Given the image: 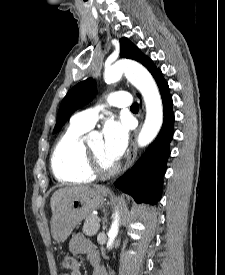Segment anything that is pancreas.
Listing matches in <instances>:
<instances>
[{
	"label": "pancreas",
	"instance_id": "1",
	"mask_svg": "<svg viewBox=\"0 0 225 275\" xmlns=\"http://www.w3.org/2000/svg\"><path fill=\"white\" fill-rule=\"evenodd\" d=\"M96 218V215L91 214L85 219L83 233L88 236H94L95 234H97L100 228V224L99 222H97Z\"/></svg>",
	"mask_w": 225,
	"mask_h": 275
}]
</instances>
